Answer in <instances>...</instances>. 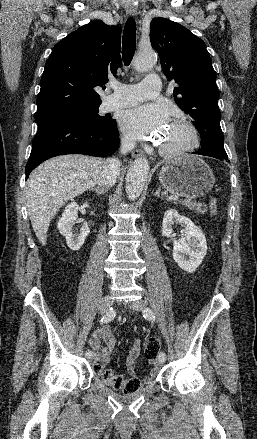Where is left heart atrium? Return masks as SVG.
<instances>
[{
  "label": "left heart atrium",
  "mask_w": 257,
  "mask_h": 439,
  "mask_svg": "<svg viewBox=\"0 0 257 439\" xmlns=\"http://www.w3.org/2000/svg\"><path fill=\"white\" fill-rule=\"evenodd\" d=\"M168 120V110L159 104H143L124 110L119 118L121 128L136 139L156 137Z\"/></svg>",
  "instance_id": "obj_1"
}]
</instances>
